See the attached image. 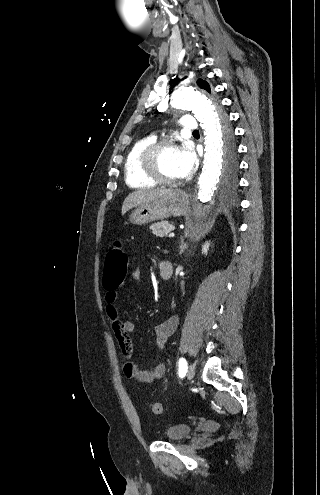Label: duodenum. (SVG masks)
I'll return each instance as SVG.
<instances>
[{
  "instance_id": "duodenum-1",
  "label": "duodenum",
  "mask_w": 320,
  "mask_h": 495,
  "mask_svg": "<svg viewBox=\"0 0 320 495\" xmlns=\"http://www.w3.org/2000/svg\"><path fill=\"white\" fill-rule=\"evenodd\" d=\"M159 272L162 280H170L173 275V264L168 260H163L159 265Z\"/></svg>"
}]
</instances>
